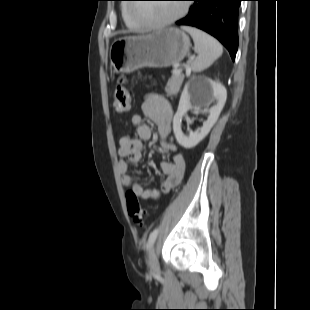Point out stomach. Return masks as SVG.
I'll use <instances>...</instances> for the list:
<instances>
[{
  "label": "stomach",
  "instance_id": "1",
  "mask_svg": "<svg viewBox=\"0 0 310 310\" xmlns=\"http://www.w3.org/2000/svg\"><path fill=\"white\" fill-rule=\"evenodd\" d=\"M190 46L189 36L177 28L121 37L110 47V64L116 73H130L144 67H169L180 62Z\"/></svg>",
  "mask_w": 310,
  "mask_h": 310
}]
</instances>
